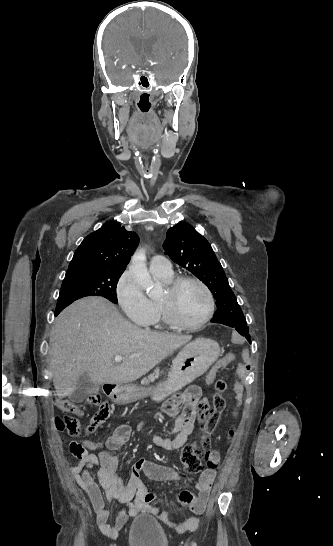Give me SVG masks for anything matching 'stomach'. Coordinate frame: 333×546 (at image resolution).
<instances>
[{"mask_svg": "<svg viewBox=\"0 0 333 546\" xmlns=\"http://www.w3.org/2000/svg\"><path fill=\"white\" fill-rule=\"evenodd\" d=\"M220 356L219 344L209 338H197L186 344L173 360L167 379L151 388L117 386L110 394L116 403L126 404L147 396L158 402L204 374Z\"/></svg>", "mask_w": 333, "mask_h": 546, "instance_id": "0dacf381", "label": "stomach"}]
</instances>
